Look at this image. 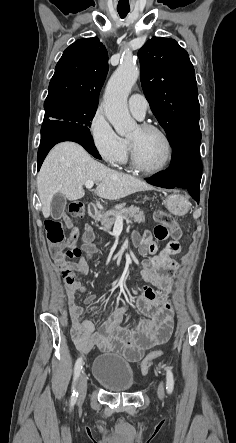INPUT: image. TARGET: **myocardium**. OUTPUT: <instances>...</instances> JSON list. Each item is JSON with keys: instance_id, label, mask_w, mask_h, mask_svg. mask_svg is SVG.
I'll return each mask as SVG.
<instances>
[{"instance_id": "f54148a6", "label": "myocardium", "mask_w": 236, "mask_h": 443, "mask_svg": "<svg viewBox=\"0 0 236 443\" xmlns=\"http://www.w3.org/2000/svg\"><path fill=\"white\" fill-rule=\"evenodd\" d=\"M139 128L142 131L157 132L163 137V139L167 145V158H166L164 164L158 168H155V169L146 168L145 166H143L141 164V162L139 160L137 150H136L134 143L130 139H128V146H129V150H130L132 166L137 171H139L143 174H147V175H155V174H159V173L165 171L170 166L172 159H173V155H174L173 143H172L169 135L167 134V132L163 128H161L160 126H157L155 124H151V123H141L139 125Z\"/></svg>"}]
</instances>
